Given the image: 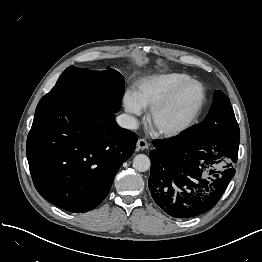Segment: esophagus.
<instances>
[{
    "mask_svg": "<svg viewBox=\"0 0 262 262\" xmlns=\"http://www.w3.org/2000/svg\"><path fill=\"white\" fill-rule=\"evenodd\" d=\"M147 147H148V142H147L146 139H143V138L138 139V141H137V148H138L139 150H144V149H146Z\"/></svg>",
    "mask_w": 262,
    "mask_h": 262,
    "instance_id": "1",
    "label": "esophagus"
}]
</instances>
